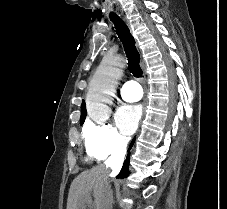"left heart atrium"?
Returning <instances> with one entry per match:
<instances>
[{
    "mask_svg": "<svg viewBox=\"0 0 227 209\" xmlns=\"http://www.w3.org/2000/svg\"><path fill=\"white\" fill-rule=\"evenodd\" d=\"M142 115V105L136 103L122 104L116 112V122L125 135L135 132Z\"/></svg>",
    "mask_w": 227,
    "mask_h": 209,
    "instance_id": "39dd6f15",
    "label": "left heart atrium"
}]
</instances>
